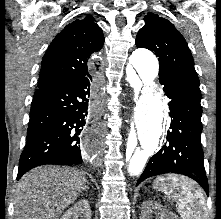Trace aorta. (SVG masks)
<instances>
[{"label":"aorta","mask_w":221,"mask_h":219,"mask_svg":"<svg viewBox=\"0 0 221 219\" xmlns=\"http://www.w3.org/2000/svg\"><path fill=\"white\" fill-rule=\"evenodd\" d=\"M129 62L144 83L135 113V128L141 147L129 143L122 166L125 176L132 177L141 174L149 155L158 147L164 104L162 95L156 91L154 84L159 71L156 56L149 50L140 48L131 54Z\"/></svg>","instance_id":"obj_1"}]
</instances>
